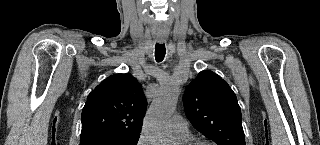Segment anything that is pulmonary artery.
<instances>
[{
    "instance_id": "1",
    "label": "pulmonary artery",
    "mask_w": 320,
    "mask_h": 145,
    "mask_svg": "<svg viewBox=\"0 0 320 145\" xmlns=\"http://www.w3.org/2000/svg\"><path fill=\"white\" fill-rule=\"evenodd\" d=\"M170 129L177 138H188L189 126L188 121L180 115H175L170 121Z\"/></svg>"
}]
</instances>
